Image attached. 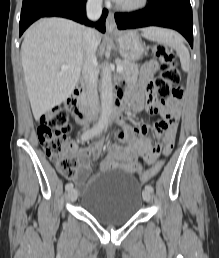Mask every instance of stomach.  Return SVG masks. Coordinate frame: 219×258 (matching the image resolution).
Instances as JSON below:
<instances>
[{"instance_id": "stomach-1", "label": "stomach", "mask_w": 219, "mask_h": 258, "mask_svg": "<svg viewBox=\"0 0 219 258\" xmlns=\"http://www.w3.org/2000/svg\"><path fill=\"white\" fill-rule=\"evenodd\" d=\"M115 39L119 46V53L124 59L134 62L142 57L145 47L136 31L120 32L115 35Z\"/></svg>"}]
</instances>
